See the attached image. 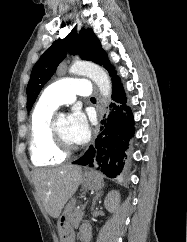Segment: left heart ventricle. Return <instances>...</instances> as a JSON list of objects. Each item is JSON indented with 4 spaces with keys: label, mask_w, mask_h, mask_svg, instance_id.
<instances>
[{
    "label": "left heart ventricle",
    "mask_w": 187,
    "mask_h": 242,
    "mask_svg": "<svg viewBox=\"0 0 187 242\" xmlns=\"http://www.w3.org/2000/svg\"><path fill=\"white\" fill-rule=\"evenodd\" d=\"M56 130L57 133L63 142V144L67 147H72L74 144L71 142L67 135V119L63 116H60L56 119Z\"/></svg>",
    "instance_id": "obj_1"
}]
</instances>
